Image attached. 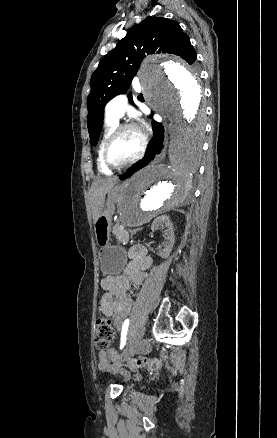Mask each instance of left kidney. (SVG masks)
<instances>
[{"mask_svg": "<svg viewBox=\"0 0 277 438\" xmlns=\"http://www.w3.org/2000/svg\"><path fill=\"white\" fill-rule=\"evenodd\" d=\"M163 224H165V226H163ZM162 228H167L165 236H167L166 240H168V246H166L165 252H162L160 256L161 258H168L175 244V236H174L173 224L172 222H170L169 216H165V214H163V216H158V218H155L151 226L152 232H155V230H162Z\"/></svg>", "mask_w": 277, "mask_h": 438, "instance_id": "left-kidney-1", "label": "left kidney"}]
</instances>
